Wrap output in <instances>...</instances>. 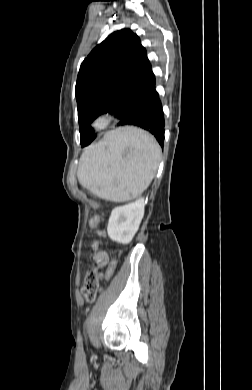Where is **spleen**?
Returning a JSON list of instances; mask_svg holds the SVG:
<instances>
[{"label": "spleen", "instance_id": "obj_1", "mask_svg": "<svg viewBox=\"0 0 252 390\" xmlns=\"http://www.w3.org/2000/svg\"><path fill=\"white\" fill-rule=\"evenodd\" d=\"M160 157V146L150 134L132 127L119 128L83 152L78 180L99 198L129 201L149 186Z\"/></svg>", "mask_w": 252, "mask_h": 390}]
</instances>
